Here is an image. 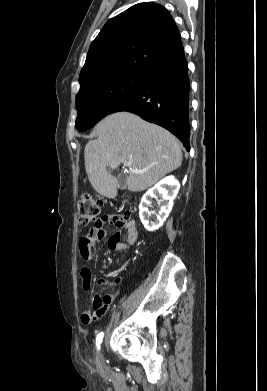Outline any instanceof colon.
<instances>
[{
  "instance_id": "obj_1",
  "label": "colon",
  "mask_w": 267,
  "mask_h": 391,
  "mask_svg": "<svg viewBox=\"0 0 267 391\" xmlns=\"http://www.w3.org/2000/svg\"><path fill=\"white\" fill-rule=\"evenodd\" d=\"M100 202L99 198L93 197L90 194H83L78 201V220L81 226H87L91 223L100 222L101 218L99 217L100 212ZM120 223H123L127 220V217L124 215H119L117 217ZM90 247V239L84 235L79 240V249L87 254Z\"/></svg>"
}]
</instances>
